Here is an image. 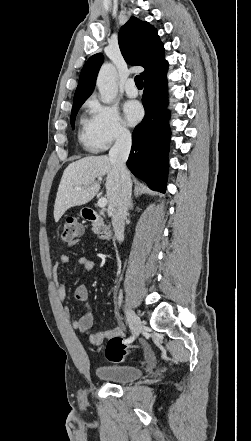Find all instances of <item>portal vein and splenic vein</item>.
<instances>
[{
  "mask_svg": "<svg viewBox=\"0 0 251 441\" xmlns=\"http://www.w3.org/2000/svg\"><path fill=\"white\" fill-rule=\"evenodd\" d=\"M77 189H81L80 187H77ZM98 206L100 208H104L107 205V199L104 197H101L98 202H97Z\"/></svg>",
  "mask_w": 251,
  "mask_h": 441,
  "instance_id": "portal-vein-and-splenic-vein-1",
  "label": "portal vein and splenic vein"
}]
</instances>
